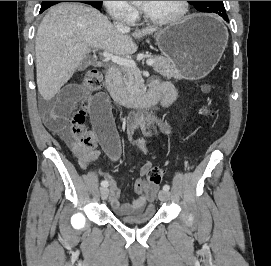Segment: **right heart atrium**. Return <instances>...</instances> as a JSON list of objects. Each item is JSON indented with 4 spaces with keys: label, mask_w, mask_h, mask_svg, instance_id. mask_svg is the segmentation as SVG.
Here are the masks:
<instances>
[{
    "label": "right heart atrium",
    "mask_w": 271,
    "mask_h": 266,
    "mask_svg": "<svg viewBox=\"0 0 271 266\" xmlns=\"http://www.w3.org/2000/svg\"><path fill=\"white\" fill-rule=\"evenodd\" d=\"M109 15L126 23H133L138 17V10L129 1H103Z\"/></svg>",
    "instance_id": "d8ad5b80"
}]
</instances>
